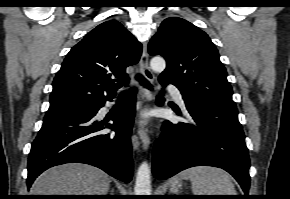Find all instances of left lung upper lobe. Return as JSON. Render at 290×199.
<instances>
[{
	"mask_svg": "<svg viewBox=\"0 0 290 199\" xmlns=\"http://www.w3.org/2000/svg\"><path fill=\"white\" fill-rule=\"evenodd\" d=\"M150 55L167 62L159 80L175 85L183 97H196L236 108L219 53L208 35L190 22L165 19L148 45Z\"/></svg>",
	"mask_w": 290,
	"mask_h": 199,
	"instance_id": "left-lung-upper-lobe-1",
	"label": "left lung upper lobe"
}]
</instances>
